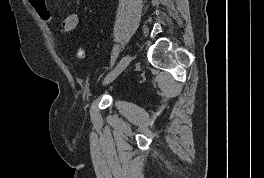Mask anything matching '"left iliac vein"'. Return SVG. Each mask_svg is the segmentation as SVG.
Returning a JSON list of instances; mask_svg holds the SVG:
<instances>
[{
  "label": "left iliac vein",
  "instance_id": "obj_1",
  "mask_svg": "<svg viewBox=\"0 0 264 178\" xmlns=\"http://www.w3.org/2000/svg\"><path fill=\"white\" fill-rule=\"evenodd\" d=\"M132 60V56L130 54H126L122 59L119 61V63L115 66L114 69H112L104 78L103 84L107 85L111 83L114 79H116L123 70L129 65V63Z\"/></svg>",
  "mask_w": 264,
  "mask_h": 178
}]
</instances>
